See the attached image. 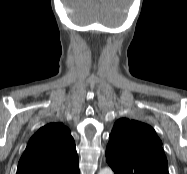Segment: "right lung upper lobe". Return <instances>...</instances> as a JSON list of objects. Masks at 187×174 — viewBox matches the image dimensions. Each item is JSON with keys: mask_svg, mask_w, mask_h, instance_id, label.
Wrapping results in <instances>:
<instances>
[{"mask_svg": "<svg viewBox=\"0 0 187 174\" xmlns=\"http://www.w3.org/2000/svg\"><path fill=\"white\" fill-rule=\"evenodd\" d=\"M17 174H79L69 129L61 123H50L37 131L19 160Z\"/></svg>", "mask_w": 187, "mask_h": 174, "instance_id": "right-lung-upper-lobe-1", "label": "right lung upper lobe"}]
</instances>
